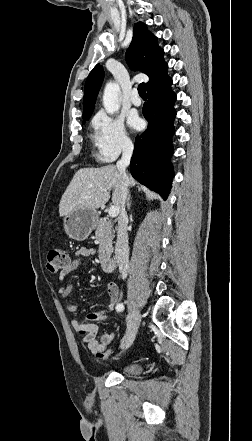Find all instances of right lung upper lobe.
<instances>
[{
	"label": "right lung upper lobe",
	"mask_w": 252,
	"mask_h": 441,
	"mask_svg": "<svg viewBox=\"0 0 252 441\" xmlns=\"http://www.w3.org/2000/svg\"><path fill=\"white\" fill-rule=\"evenodd\" d=\"M164 51L157 44V38L142 22L134 24L133 39L126 51V62L133 70H139L149 77L147 88L154 84L167 67L163 59ZM104 78V70L97 64L90 72L84 88L83 120H88L93 112L96 97Z\"/></svg>",
	"instance_id": "cb5924a9"
}]
</instances>
